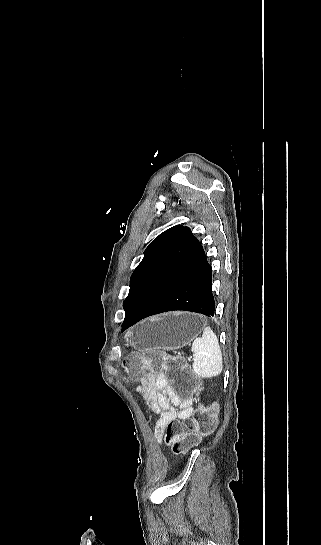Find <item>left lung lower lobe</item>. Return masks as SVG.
Returning a JSON list of instances; mask_svg holds the SVG:
<instances>
[{"instance_id":"obj_1","label":"left lung lower lobe","mask_w":321,"mask_h":545,"mask_svg":"<svg viewBox=\"0 0 321 545\" xmlns=\"http://www.w3.org/2000/svg\"><path fill=\"white\" fill-rule=\"evenodd\" d=\"M172 310L214 316L211 266L189 227H185L162 266L125 315L122 330L143 318Z\"/></svg>"}]
</instances>
